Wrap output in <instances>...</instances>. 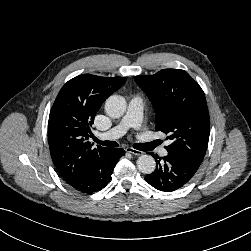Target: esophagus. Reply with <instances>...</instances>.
<instances>
[{"instance_id": "1", "label": "esophagus", "mask_w": 251, "mask_h": 251, "mask_svg": "<svg viewBox=\"0 0 251 251\" xmlns=\"http://www.w3.org/2000/svg\"><path fill=\"white\" fill-rule=\"evenodd\" d=\"M125 150H126V152L131 153L132 155H135V156H141L143 154L142 151L133 149L131 147H127Z\"/></svg>"}]
</instances>
